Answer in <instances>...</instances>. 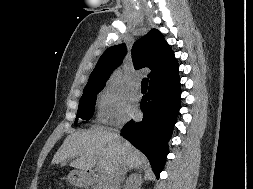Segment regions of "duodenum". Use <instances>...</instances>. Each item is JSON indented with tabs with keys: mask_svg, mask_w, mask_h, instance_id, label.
Returning <instances> with one entry per match:
<instances>
[{
	"mask_svg": "<svg viewBox=\"0 0 253 189\" xmlns=\"http://www.w3.org/2000/svg\"><path fill=\"white\" fill-rule=\"evenodd\" d=\"M78 182L84 186H89L91 184L97 183L101 185L104 189H108V182L105 175L99 173L96 170H87L78 174Z\"/></svg>",
	"mask_w": 253,
	"mask_h": 189,
	"instance_id": "1",
	"label": "duodenum"
}]
</instances>
